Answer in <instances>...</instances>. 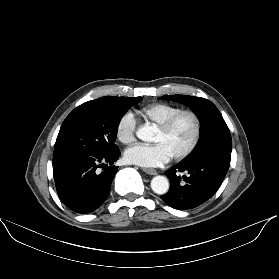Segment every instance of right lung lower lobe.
Instances as JSON below:
<instances>
[{"label": "right lung lower lobe", "instance_id": "obj_1", "mask_svg": "<svg viewBox=\"0 0 279 279\" xmlns=\"http://www.w3.org/2000/svg\"><path fill=\"white\" fill-rule=\"evenodd\" d=\"M119 149L102 157L71 156L53 159V174L61 201L77 213H90L108 197L118 167Z\"/></svg>", "mask_w": 279, "mask_h": 279}]
</instances>
